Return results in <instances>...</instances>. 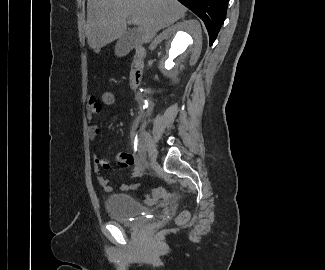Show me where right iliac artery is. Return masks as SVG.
I'll list each match as a JSON object with an SVG mask.
<instances>
[{"label":"right iliac artery","instance_id":"1","mask_svg":"<svg viewBox=\"0 0 325 270\" xmlns=\"http://www.w3.org/2000/svg\"><path fill=\"white\" fill-rule=\"evenodd\" d=\"M143 140H144L145 146L149 152L153 143H152L150 135L147 132H143Z\"/></svg>","mask_w":325,"mask_h":270}]
</instances>
